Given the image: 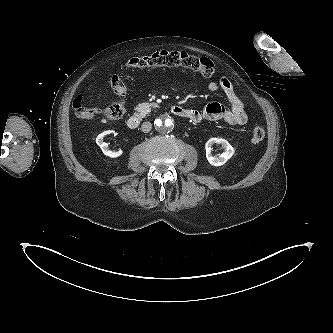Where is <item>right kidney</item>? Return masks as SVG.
Here are the masks:
<instances>
[{
    "mask_svg": "<svg viewBox=\"0 0 333 333\" xmlns=\"http://www.w3.org/2000/svg\"><path fill=\"white\" fill-rule=\"evenodd\" d=\"M111 133H115V131L113 130H108V131H104L101 134H99L96 138V143L100 146L102 152L106 155L109 156L111 158H116L119 157L120 155H122V150H118V151H112L109 150L108 148V143L104 142V138L106 135L111 134Z\"/></svg>",
    "mask_w": 333,
    "mask_h": 333,
    "instance_id": "1",
    "label": "right kidney"
}]
</instances>
